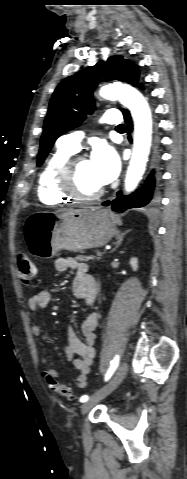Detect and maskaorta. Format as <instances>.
Returning <instances> with one entry per match:
<instances>
[{
  "mask_svg": "<svg viewBox=\"0 0 187 479\" xmlns=\"http://www.w3.org/2000/svg\"><path fill=\"white\" fill-rule=\"evenodd\" d=\"M100 96L108 100H119L127 107L134 119V145L125 179V189L132 192L145 171L151 146L152 118L148 103L133 87L121 84L101 88Z\"/></svg>",
  "mask_w": 187,
  "mask_h": 479,
  "instance_id": "aorta-1",
  "label": "aorta"
}]
</instances>
